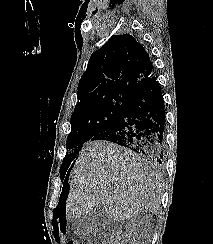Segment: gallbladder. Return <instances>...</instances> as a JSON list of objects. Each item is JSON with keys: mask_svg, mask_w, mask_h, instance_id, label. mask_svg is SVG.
Here are the masks:
<instances>
[{"mask_svg": "<svg viewBox=\"0 0 213 244\" xmlns=\"http://www.w3.org/2000/svg\"><path fill=\"white\" fill-rule=\"evenodd\" d=\"M111 222L103 208L99 207L87 216L74 219L71 226L75 233L85 236L104 231Z\"/></svg>", "mask_w": 213, "mask_h": 244, "instance_id": "bac80fb5", "label": "gallbladder"}]
</instances>
